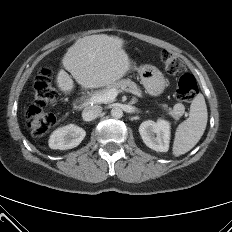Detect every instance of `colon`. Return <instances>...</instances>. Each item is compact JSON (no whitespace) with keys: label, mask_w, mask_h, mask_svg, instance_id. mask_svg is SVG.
I'll use <instances>...</instances> for the list:
<instances>
[{"label":"colon","mask_w":232,"mask_h":232,"mask_svg":"<svg viewBox=\"0 0 232 232\" xmlns=\"http://www.w3.org/2000/svg\"><path fill=\"white\" fill-rule=\"evenodd\" d=\"M160 61L164 70L170 75L181 74L176 95L184 102L193 101L198 93V84L195 77L190 73H185L183 60L167 50L160 53ZM58 100V93L52 86L47 74L42 73L37 76L34 85V102L29 107L26 122L35 137H43L55 124L53 114L46 112L45 108Z\"/></svg>","instance_id":"obj_1"}]
</instances>
